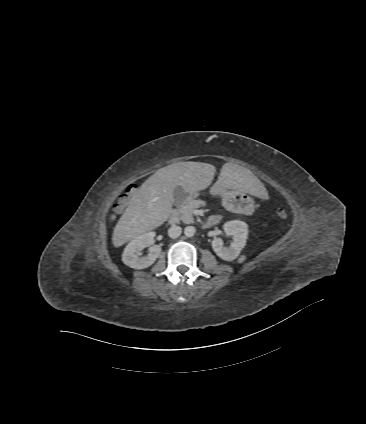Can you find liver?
<instances>
[{
    "mask_svg": "<svg viewBox=\"0 0 366 424\" xmlns=\"http://www.w3.org/2000/svg\"><path fill=\"white\" fill-rule=\"evenodd\" d=\"M216 168L202 162H178L157 170L137 190L114 228L112 243L120 247L140 234L161 226L170 216L174 189L181 186L186 194L206 189ZM216 184L261 197L265 187L247 168L225 163Z\"/></svg>",
    "mask_w": 366,
    "mask_h": 424,
    "instance_id": "6515ba94",
    "label": "liver"
}]
</instances>
